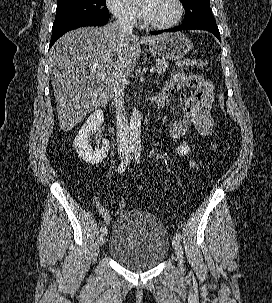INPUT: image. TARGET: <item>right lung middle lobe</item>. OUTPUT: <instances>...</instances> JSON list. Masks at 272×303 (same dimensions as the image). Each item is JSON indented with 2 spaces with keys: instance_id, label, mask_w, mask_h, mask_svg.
I'll use <instances>...</instances> for the list:
<instances>
[{
  "instance_id": "obj_1",
  "label": "right lung middle lobe",
  "mask_w": 272,
  "mask_h": 303,
  "mask_svg": "<svg viewBox=\"0 0 272 303\" xmlns=\"http://www.w3.org/2000/svg\"><path fill=\"white\" fill-rule=\"evenodd\" d=\"M109 17L106 0H58L52 28L75 20H108Z\"/></svg>"
}]
</instances>
